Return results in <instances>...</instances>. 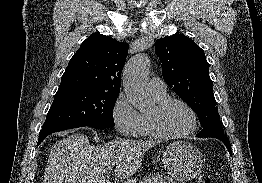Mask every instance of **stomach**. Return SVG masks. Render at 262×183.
<instances>
[{"label": "stomach", "mask_w": 262, "mask_h": 183, "mask_svg": "<svg viewBox=\"0 0 262 183\" xmlns=\"http://www.w3.org/2000/svg\"><path fill=\"white\" fill-rule=\"evenodd\" d=\"M163 164L176 180L188 181L199 174L203 165L202 154L189 142L174 141L163 151Z\"/></svg>", "instance_id": "1"}]
</instances>
